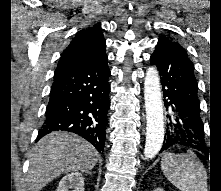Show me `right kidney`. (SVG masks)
<instances>
[{
  "label": "right kidney",
  "mask_w": 221,
  "mask_h": 191,
  "mask_svg": "<svg viewBox=\"0 0 221 191\" xmlns=\"http://www.w3.org/2000/svg\"><path fill=\"white\" fill-rule=\"evenodd\" d=\"M84 191V178L79 172L64 176L59 182L56 191Z\"/></svg>",
  "instance_id": "1"
}]
</instances>
